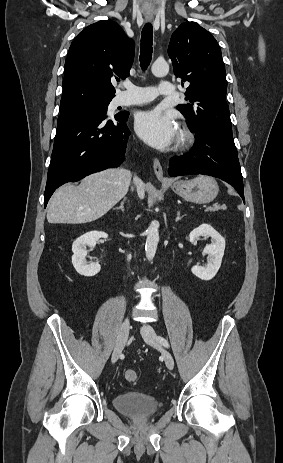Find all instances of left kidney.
I'll return each mask as SVG.
<instances>
[{"instance_id":"obj_1","label":"left kidney","mask_w":283,"mask_h":463,"mask_svg":"<svg viewBox=\"0 0 283 463\" xmlns=\"http://www.w3.org/2000/svg\"><path fill=\"white\" fill-rule=\"evenodd\" d=\"M211 237L212 243L206 245L202 254L208 255L206 266H193L192 273L202 279L211 280L218 272L225 250V239L209 224H201L189 234V241L193 242L199 237Z\"/></svg>"}]
</instances>
